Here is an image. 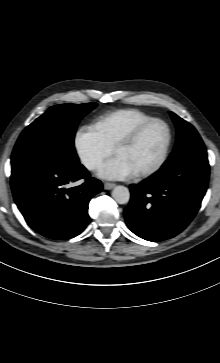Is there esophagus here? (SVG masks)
Listing matches in <instances>:
<instances>
[{"mask_svg": "<svg viewBox=\"0 0 220 363\" xmlns=\"http://www.w3.org/2000/svg\"><path fill=\"white\" fill-rule=\"evenodd\" d=\"M115 186H116L115 183H109V182L104 183V189H106V190H110V189L114 188Z\"/></svg>", "mask_w": 220, "mask_h": 363, "instance_id": "1", "label": "esophagus"}]
</instances>
